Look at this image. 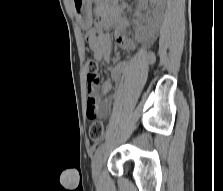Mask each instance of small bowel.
Returning <instances> with one entry per match:
<instances>
[{
  "label": "small bowel",
  "instance_id": "small-bowel-1",
  "mask_svg": "<svg viewBox=\"0 0 223 191\" xmlns=\"http://www.w3.org/2000/svg\"><path fill=\"white\" fill-rule=\"evenodd\" d=\"M99 1V0H97ZM95 14L98 16L91 29L87 32V40L89 47L92 50L95 59L109 60L112 48V40L109 30L114 28V35L117 42L126 50L132 51L135 49L134 42L130 39L127 33L128 21L125 18L114 19L113 15L108 11L107 7L98 3L95 8ZM154 56L149 54L147 56L148 62H153ZM127 65L123 61L118 63L111 70V77L114 81H120L122 73ZM101 92L97 91V85L89 83L87 85L88 98H87V116L92 119L97 115L106 116L112 106V99L108 94L112 90V84L109 80L102 81Z\"/></svg>",
  "mask_w": 223,
  "mask_h": 191
}]
</instances>
